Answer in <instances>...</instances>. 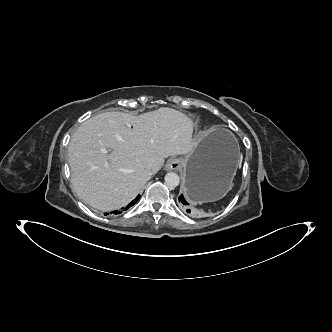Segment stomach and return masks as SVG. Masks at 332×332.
I'll use <instances>...</instances> for the list:
<instances>
[{"instance_id": "obj_1", "label": "stomach", "mask_w": 332, "mask_h": 332, "mask_svg": "<svg viewBox=\"0 0 332 332\" xmlns=\"http://www.w3.org/2000/svg\"><path fill=\"white\" fill-rule=\"evenodd\" d=\"M240 157L237 139L229 130L204 134L191 153L179 158L186 198L195 204L223 198L232 187Z\"/></svg>"}]
</instances>
